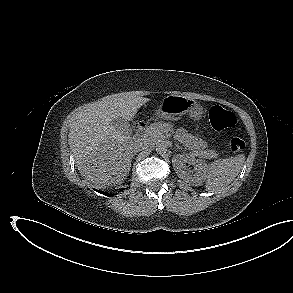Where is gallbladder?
Listing matches in <instances>:
<instances>
[{
  "label": "gallbladder",
  "instance_id": "gallbladder-1",
  "mask_svg": "<svg viewBox=\"0 0 293 293\" xmlns=\"http://www.w3.org/2000/svg\"><path fill=\"white\" fill-rule=\"evenodd\" d=\"M111 123L117 131H121L128 135L132 134V128L127 120L123 118H115Z\"/></svg>",
  "mask_w": 293,
  "mask_h": 293
}]
</instances>
